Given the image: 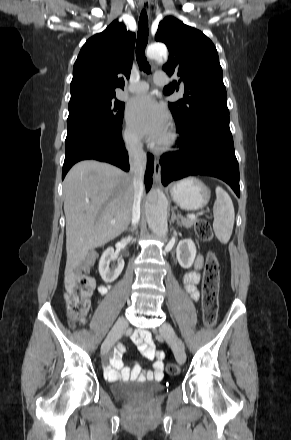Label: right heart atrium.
Listing matches in <instances>:
<instances>
[{
  "label": "right heart atrium",
  "instance_id": "obj_1",
  "mask_svg": "<svg viewBox=\"0 0 291 440\" xmlns=\"http://www.w3.org/2000/svg\"><path fill=\"white\" fill-rule=\"evenodd\" d=\"M123 140L127 147L135 146L138 143L137 137L130 128H126L123 133Z\"/></svg>",
  "mask_w": 291,
  "mask_h": 440
}]
</instances>
